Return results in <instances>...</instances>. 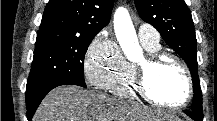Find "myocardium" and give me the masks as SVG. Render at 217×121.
<instances>
[{
  "label": "myocardium",
  "instance_id": "f54148a6",
  "mask_svg": "<svg viewBox=\"0 0 217 121\" xmlns=\"http://www.w3.org/2000/svg\"><path fill=\"white\" fill-rule=\"evenodd\" d=\"M164 60H170L175 63L183 72L186 84H187V92L184 99L177 104H166L157 97H155L149 88L148 84V74L151 69L155 68L156 66L160 65ZM134 81L136 84V88L138 93L145 98L146 100L159 105L161 107L171 109V110H178L186 105L191 101L194 93L193 89V81L191 77V73L184 63V61L175 54L165 52V51H157L154 53L148 54L145 58L134 65Z\"/></svg>",
  "mask_w": 217,
  "mask_h": 121
}]
</instances>
